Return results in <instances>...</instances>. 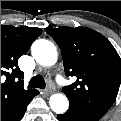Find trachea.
<instances>
[{"instance_id": "1", "label": "trachea", "mask_w": 121, "mask_h": 121, "mask_svg": "<svg viewBox=\"0 0 121 121\" xmlns=\"http://www.w3.org/2000/svg\"><path fill=\"white\" fill-rule=\"evenodd\" d=\"M30 88L45 89V81L41 75L34 76L29 82Z\"/></svg>"}]
</instances>
